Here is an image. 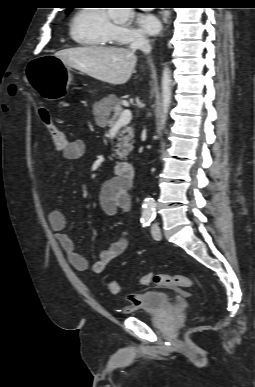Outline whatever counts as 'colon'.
<instances>
[{
	"instance_id": "obj_1",
	"label": "colon",
	"mask_w": 255,
	"mask_h": 387,
	"mask_svg": "<svg viewBox=\"0 0 255 387\" xmlns=\"http://www.w3.org/2000/svg\"><path fill=\"white\" fill-rule=\"evenodd\" d=\"M39 118L48 130L52 142L55 148L59 152H63L68 147V139L65 133L60 130L57 125L54 123L52 114L46 107H38ZM139 283L142 286H166V287H183L187 289H195L194 282L183 275H170V274H144L140 276ZM107 290L113 294L118 295L120 293V285L114 279H108L106 281Z\"/></svg>"
}]
</instances>
